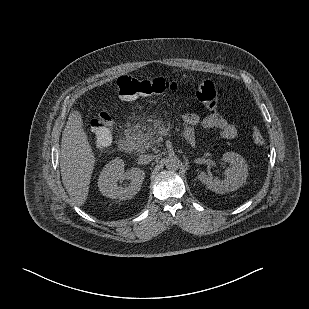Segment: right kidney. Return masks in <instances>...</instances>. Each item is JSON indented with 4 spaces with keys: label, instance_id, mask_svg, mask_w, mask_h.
<instances>
[{
    "label": "right kidney",
    "instance_id": "ca27d5eb",
    "mask_svg": "<svg viewBox=\"0 0 309 309\" xmlns=\"http://www.w3.org/2000/svg\"><path fill=\"white\" fill-rule=\"evenodd\" d=\"M124 161L119 157L109 161L98 178L99 191L103 196L111 199H131L141 189L145 173L140 168H132L128 172H124ZM130 180V183L124 187L118 185V182Z\"/></svg>",
    "mask_w": 309,
    "mask_h": 309
}]
</instances>
